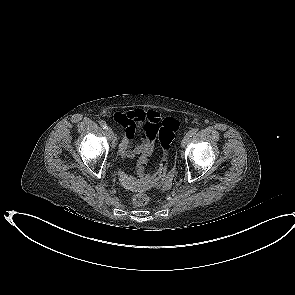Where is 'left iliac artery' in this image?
Segmentation results:
<instances>
[{
	"mask_svg": "<svg viewBox=\"0 0 295 295\" xmlns=\"http://www.w3.org/2000/svg\"><path fill=\"white\" fill-rule=\"evenodd\" d=\"M197 131L198 129H192L188 132V134L190 135V137H192L194 134H196Z\"/></svg>",
	"mask_w": 295,
	"mask_h": 295,
	"instance_id": "obj_1",
	"label": "left iliac artery"
}]
</instances>
